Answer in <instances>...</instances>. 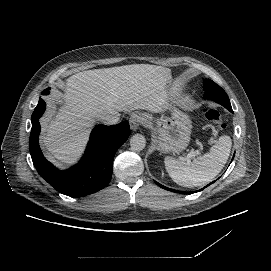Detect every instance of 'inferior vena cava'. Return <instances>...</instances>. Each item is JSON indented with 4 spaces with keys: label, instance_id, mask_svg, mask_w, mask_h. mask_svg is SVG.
Segmentation results:
<instances>
[{
    "label": "inferior vena cava",
    "instance_id": "1",
    "mask_svg": "<svg viewBox=\"0 0 271 271\" xmlns=\"http://www.w3.org/2000/svg\"><path fill=\"white\" fill-rule=\"evenodd\" d=\"M103 124L106 125H115L121 122L120 114H115L112 112H106L98 115L97 117Z\"/></svg>",
    "mask_w": 271,
    "mask_h": 271
}]
</instances>
